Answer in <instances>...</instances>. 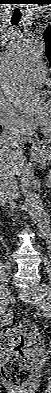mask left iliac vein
<instances>
[{
  "mask_svg": "<svg viewBox=\"0 0 51 393\" xmlns=\"http://www.w3.org/2000/svg\"><path fill=\"white\" fill-rule=\"evenodd\" d=\"M48 290L43 287V286H36L33 287L30 290V295L35 297L36 300L35 301H30L32 304L38 306L40 309L49 312L51 311V303L50 301L45 298V295L47 294ZM25 296H28L27 293L24 294Z\"/></svg>",
  "mask_w": 51,
  "mask_h": 393,
  "instance_id": "1",
  "label": "left iliac vein"
}]
</instances>
